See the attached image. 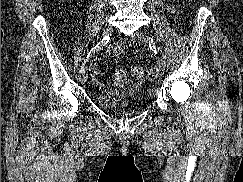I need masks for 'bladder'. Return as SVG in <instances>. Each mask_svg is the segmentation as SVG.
I'll return each mask as SVG.
<instances>
[{
    "instance_id": "1",
    "label": "bladder",
    "mask_w": 243,
    "mask_h": 182,
    "mask_svg": "<svg viewBox=\"0 0 243 182\" xmlns=\"http://www.w3.org/2000/svg\"><path fill=\"white\" fill-rule=\"evenodd\" d=\"M95 98L97 105L111 114H136L144 108L143 99L139 95L118 96L110 91H101Z\"/></svg>"
}]
</instances>
